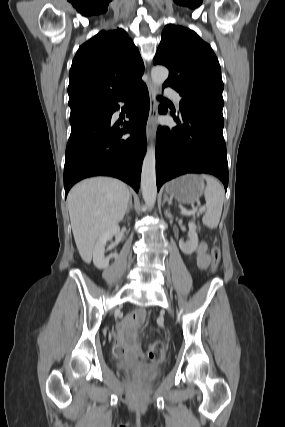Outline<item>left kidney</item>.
<instances>
[{"instance_id":"5707ae66","label":"left kidney","mask_w":285,"mask_h":427,"mask_svg":"<svg viewBox=\"0 0 285 427\" xmlns=\"http://www.w3.org/2000/svg\"><path fill=\"white\" fill-rule=\"evenodd\" d=\"M188 227V240L186 242L180 240L179 247L184 254L190 255L197 249L198 235L196 232V225L193 222H189Z\"/></svg>"}]
</instances>
